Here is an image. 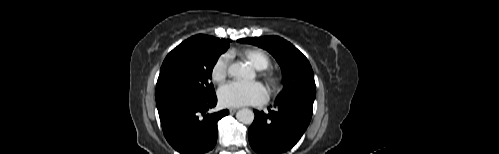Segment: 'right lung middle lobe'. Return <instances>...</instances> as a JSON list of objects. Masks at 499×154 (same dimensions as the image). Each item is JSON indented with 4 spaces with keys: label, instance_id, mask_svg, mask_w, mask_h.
<instances>
[{
    "label": "right lung middle lobe",
    "instance_id": "1",
    "mask_svg": "<svg viewBox=\"0 0 499 154\" xmlns=\"http://www.w3.org/2000/svg\"><path fill=\"white\" fill-rule=\"evenodd\" d=\"M229 40L193 36L165 58L156 85V103L171 98L204 100L215 94L210 82L219 56Z\"/></svg>",
    "mask_w": 499,
    "mask_h": 154
}]
</instances>
